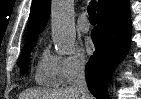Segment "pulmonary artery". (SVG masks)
Segmentation results:
<instances>
[{"label":"pulmonary artery","instance_id":"e3ab8cb5","mask_svg":"<svg viewBox=\"0 0 141 99\" xmlns=\"http://www.w3.org/2000/svg\"><path fill=\"white\" fill-rule=\"evenodd\" d=\"M77 27L82 32H88L89 31L90 24L88 22L87 15L85 13H83L79 17L78 22H77Z\"/></svg>","mask_w":141,"mask_h":99}]
</instances>
